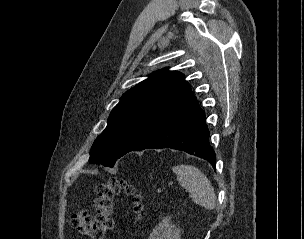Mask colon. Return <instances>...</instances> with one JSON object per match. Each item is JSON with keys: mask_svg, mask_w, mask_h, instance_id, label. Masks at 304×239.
I'll return each instance as SVG.
<instances>
[{"mask_svg": "<svg viewBox=\"0 0 304 239\" xmlns=\"http://www.w3.org/2000/svg\"><path fill=\"white\" fill-rule=\"evenodd\" d=\"M121 192L132 198L135 217L138 221L141 220L145 210V197L130 182L113 178L96 188L95 215H89L86 210L73 213L70 218L72 227L90 239H105L113 227V200Z\"/></svg>", "mask_w": 304, "mask_h": 239, "instance_id": "obj_1", "label": "colon"}]
</instances>
